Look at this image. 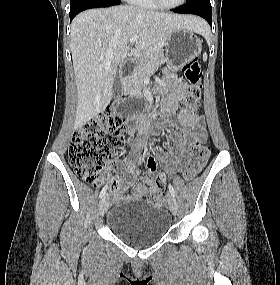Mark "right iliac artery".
Instances as JSON below:
<instances>
[{
  "label": "right iliac artery",
  "instance_id": "obj_1",
  "mask_svg": "<svg viewBox=\"0 0 280 285\" xmlns=\"http://www.w3.org/2000/svg\"><path fill=\"white\" fill-rule=\"evenodd\" d=\"M106 191H107V185L105 187H103V189L101 190L100 194H99V197L100 198H103L104 195L106 194Z\"/></svg>",
  "mask_w": 280,
  "mask_h": 285
}]
</instances>
